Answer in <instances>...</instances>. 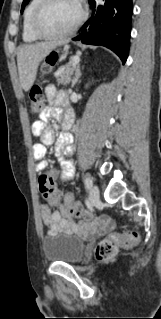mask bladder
<instances>
[{"label": "bladder", "mask_w": 161, "mask_h": 319, "mask_svg": "<svg viewBox=\"0 0 161 319\" xmlns=\"http://www.w3.org/2000/svg\"><path fill=\"white\" fill-rule=\"evenodd\" d=\"M85 250V241L75 234L47 235L43 239V253L47 261L77 263Z\"/></svg>", "instance_id": "obj_1"}]
</instances>
